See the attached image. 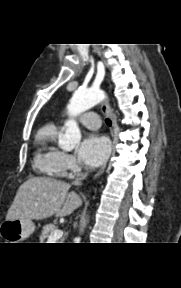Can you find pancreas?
<instances>
[{"mask_svg":"<svg viewBox=\"0 0 181 288\" xmlns=\"http://www.w3.org/2000/svg\"><path fill=\"white\" fill-rule=\"evenodd\" d=\"M55 230H57V227L55 224L45 225L41 231L40 236H39L40 241L43 242L46 239H48L49 236L51 235V233L54 232Z\"/></svg>","mask_w":181,"mask_h":288,"instance_id":"pancreas-1","label":"pancreas"}]
</instances>
